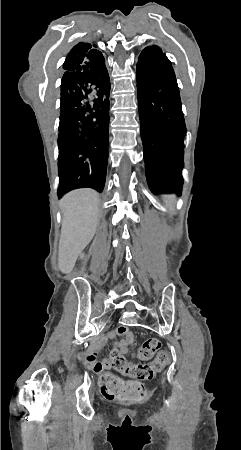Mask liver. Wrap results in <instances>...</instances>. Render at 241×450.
Wrapping results in <instances>:
<instances>
[{"instance_id":"1","label":"liver","mask_w":241,"mask_h":450,"mask_svg":"<svg viewBox=\"0 0 241 450\" xmlns=\"http://www.w3.org/2000/svg\"><path fill=\"white\" fill-rule=\"evenodd\" d=\"M99 194L90 188L68 192L59 202L63 224L59 240L60 272L70 274L82 250L97 230Z\"/></svg>"}]
</instances>
